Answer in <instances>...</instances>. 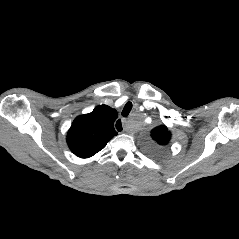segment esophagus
Here are the masks:
<instances>
[{"instance_id": "esophagus-1", "label": "esophagus", "mask_w": 239, "mask_h": 239, "mask_svg": "<svg viewBox=\"0 0 239 239\" xmlns=\"http://www.w3.org/2000/svg\"><path fill=\"white\" fill-rule=\"evenodd\" d=\"M116 128H117L118 131H122L121 120H118V121L116 122Z\"/></svg>"}]
</instances>
